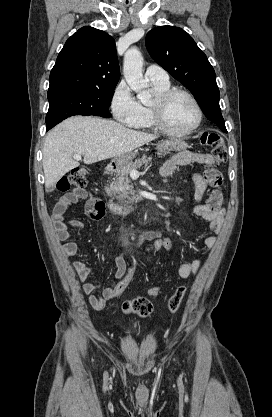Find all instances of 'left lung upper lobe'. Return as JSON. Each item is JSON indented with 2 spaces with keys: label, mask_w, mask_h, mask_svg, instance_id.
Listing matches in <instances>:
<instances>
[{
  "label": "left lung upper lobe",
  "mask_w": 272,
  "mask_h": 417,
  "mask_svg": "<svg viewBox=\"0 0 272 417\" xmlns=\"http://www.w3.org/2000/svg\"><path fill=\"white\" fill-rule=\"evenodd\" d=\"M145 44L151 57L191 91L207 119L227 132L215 71L193 38L181 28L159 26L148 32Z\"/></svg>",
  "instance_id": "5c2ea615"
}]
</instances>
